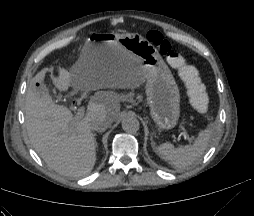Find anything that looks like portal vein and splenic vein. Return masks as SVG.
Returning <instances> with one entry per match:
<instances>
[{"label":"portal vein and splenic vein","instance_id":"1","mask_svg":"<svg viewBox=\"0 0 254 216\" xmlns=\"http://www.w3.org/2000/svg\"><path fill=\"white\" fill-rule=\"evenodd\" d=\"M84 113H85V108L84 107H80L78 108L77 110V118L80 119L84 116ZM183 136L185 139L188 140L189 143L192 142V140L194 139L193 137H189L187 131L183 130Z\"/></svg>","mask_w":254,"mask_h":216}]
</instances>
